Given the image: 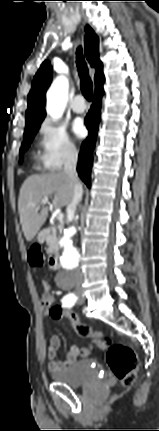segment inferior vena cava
I'll list each match as a JSON object with an SVG mask.
<instances>
[{"label": "inferior vena cava", "mask_w": 159, "mask_h": 431, "mask_svg": "<svg viewBox=\"0 0 159 431\" xmlns=\"http://www.w3.org/2000/svg\"><path fill=\"white\" fill-rule=\"evenodd\" d=\"M77 160L78 151L75 147H70L66 152L63 173L68 176L74 183L73 197L66 209L68 216L71 218H73L76 207L81 201L83 195V189L78 181V175L76 172ZM74 279L76 284V290L79 292L81 290L82 282V273L79 269L74 271Z\"/></svg>", "instance_id": "obj_1"}]
</instances>
